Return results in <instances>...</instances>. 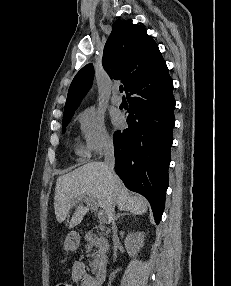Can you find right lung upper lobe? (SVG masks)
Segmentation results:
<instances>
[{
	"label": "right lung upper lobe",
	"mask_w": 231,
	"mask_h": 286,
	"mask_svg": "<svg viewBox=\"0 0 231 286\" xmlns=\"http://www.w3.org/2000/svg\"><path fill=\"white\" fill-rule=\"evenodd\" d=\"M103 67L113 79H121L126 89L135 81L168 71L155 41L146 29L132 20L117 21L105 44ZM93 66H84L74 77L64 108V116L79 106L93 80Z\"/></svg>",
	"instance_id": "obj_1"
}]
</instances>
